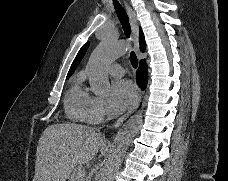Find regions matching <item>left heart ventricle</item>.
<instances>
[{
    "instance_id": "obj_1",
    "label": "left heart ventricle",
    "mask_w": 228,
    "mask_h": 181,
    "mask_svg": "<svg viewBox=\"0 0 228 181\" xmlns=\"http://www.w3.org/2000/svg\"><path fill=\"white\" fill-rule=\"evenodd\" d=\"M119 76H120V74L113 75L114 78H118Z\"/></svg>"
}]
</instances>
